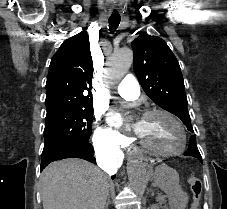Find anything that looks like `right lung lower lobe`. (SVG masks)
<instances>
[{"instance_id":"right-lung-lower-lobe-1","label":"right lung lower lobe","mask_w":227,"mask_h":209,"mask_svg":"<svg viewBox=\"0 0 227 209\" xmlns=\"http://www.w3.org/2000/svg\"><path fill=\"white\" fill-rule=\"evenodd\" d=\"M65 158H81L96 162L94 150L89 142L68 144L42 153L41 171L51 162Z\"/></svg>"}]
</instances>
